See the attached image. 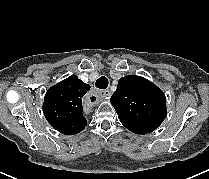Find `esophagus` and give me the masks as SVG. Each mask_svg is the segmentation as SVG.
Returning <instances> with one entry per match:
<instances>
[{
    "mask_svg": "<svg viewBox=\"0 0 209 179\" xmlns=\"http://www.w3.org/2000/svg\"><path fill=\"white\" fill-rule=\"evenodd\" d=\"M111 96V91L109 89L100 90L98 91H92L91 93H88L85 96V103L88 106H95L98 101H101L103 99H108Z\"/></svg>",
    "mask_w": 209,
    "mask_h": 179,
    "instance_id": "1",
    "label": "esophagus"
}]
</instances>
